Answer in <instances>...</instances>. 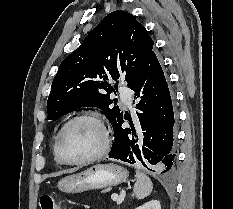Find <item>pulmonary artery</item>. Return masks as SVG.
<instances>
[{
  "label": "pulmonary artery",
  "mask_w": 233,
  "mask_h": 209,
  "mask_svg": "<svg viewBox=\"0 0 233 209\" xmlns=\"http://www.w3.org/2000/svg\"><path fill=\"white\" fill-rule=\"evenodd\" d=\"M131 95H132V91L129 88L124 87V86L120 87L121 99L128 106H130L132 103Z\"/></svg>",
  "instance_id": "obj_1"
}]
</instances>
